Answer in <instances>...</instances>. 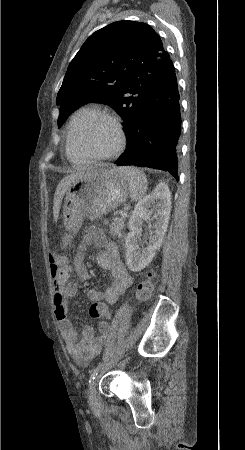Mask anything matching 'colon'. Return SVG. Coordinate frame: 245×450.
Here are the masks:
<instances>
[{"mask_svg":"<svg viewBox=\"0 0 245 450\" xmlns=\"http://www.w3.org/2000/svg\"><path fill=\"white\" fill-rule=\"evenodd\" d=\"M50 265L53 270L62 265V258L54 248L50 252ZM154 290V273L148 271L144 279L137 285L135 289V300L137 302L148 301ZM89 314L94 320H106L111 316V310L109 306L104 302H94L89 309Z\"/></svg>","mask_w":245,"mask_h":450,"instance_id":"5ec220e1","label":"colon"}]
</instances>
